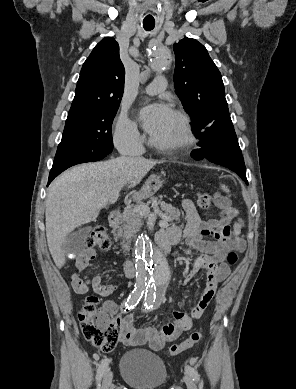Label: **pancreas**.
<instances>
[{
    "label": "pancreas",
    "instance_id": "obj_1",
    "mask_svg": "<svg viewBox=\"0 0 296 389\" xmlns=\"http://www.w3.org/2000/svg\"><path fill=\"white\" fill-rule=\"evenodd\" d=\"M156 203V210L168 222L180 221V211L170 204L158 199H152V203ZM146 205L149 203H140L138 206ZM143 216L136 210V207L128 209L124 212L120 223L115 227L113 233L116 238L121 239V246L124 251L129 250L131 239L139 232L140 227L143 225Z\"/></svg>",
    "mask_w": 296,
    "mask_h": 389
}]
</instances>
